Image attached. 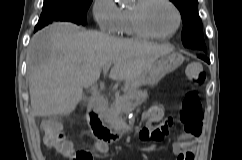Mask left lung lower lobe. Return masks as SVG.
Instances as JSON below:
<instances>
[{
	"label": "left lung lower lobe",
	"mask_w": 242,
	"mask_h": 160,
	"mask_svg": "<svg viewBox=\"0 0 242 160\" xmlns=\"http://www.w3.org/2000/svg\"><path fill=\"white\" fill-rule=\"evenodd\" d=\"M197 55L202 60L206 61L207 63H210V60L207 58L206 53L197 51Z\"/></svg>",
	"instance_id": "1"
}]
</instances>
